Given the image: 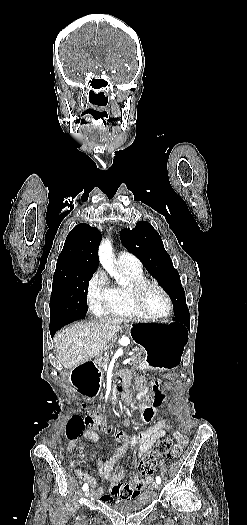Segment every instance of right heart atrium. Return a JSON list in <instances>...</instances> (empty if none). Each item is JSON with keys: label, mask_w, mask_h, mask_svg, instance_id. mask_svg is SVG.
<instances>
[{"label": "right heart atrium", "mask_w": 247, "mask_h": 525, "mask_svg": "<svg viewBox=\"0 0 247 525\" xmlns=\"http://www.w3.org/2000/svg\"><path fill=\"white\" fill-rule=\"evenodd\" d=\"M114 291L104 272L97 269L86 285V300L90 312L101 316L113 302Z\"/></svg>", "instance_id": "obj_1"}]
</instances>
